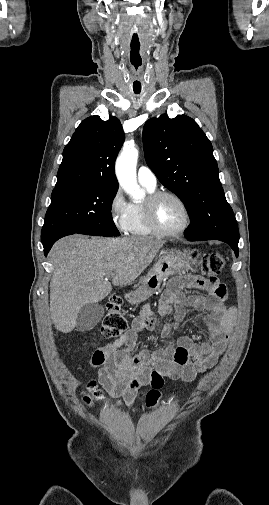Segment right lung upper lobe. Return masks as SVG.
Returning <instances> with one entry per match:
<instances>
[{
    "instance_id": "1",
    "label": "right lung upper lobe",
    "mask_w": 269,
    "mask_h": 505,
    "mask_svg": "<svg viewBox=\"0 0 269 505\" xmlns=\"http://www.w3.org/2000/svg\"><path fill=\"white\" fill-rule=\"evenodd\" d=\"M125 136L116 117L91 116L81 122L63 150L55 187L91 184L118 187L114 173Z\"/></svg>"
}]
</instances>
